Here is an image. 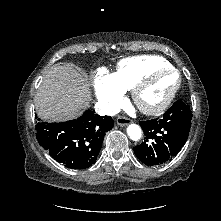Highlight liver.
<instances>
[{
	"instance_id": "obj_1",
	"label": "liver",
	"mask_w": 221,
	"mask_h": 221,
	"mask_svg": "<svg viewBox=\"0 0 221 221\" xmlns=\"http://www.w3.org/2000/svg\"><path fill=\"white\" fill-rule=\"evenodd\" d=\"M90 84L69 64L55 65L45 75L35 96L38 117L46 121L76 118L89 106Z\"/></svg>"
}]
</instances>
